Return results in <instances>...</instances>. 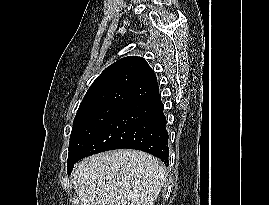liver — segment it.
Returning a JSON list of instances; mask_svg holds the SVG:
<instances>
[{"instance_id":"liver-1","label":"liver","mask_w":269,"mask_h":205,"mask_svg":"<svg viewBox=\"0 0 269 205\" xmlns=\"http://www.w3.org/2000/svg\"><path fill=\"white\" fill-rule=\"evenodd\" d=\"M165 182V168L154 156L122 149L78 162L73 185L80 205H153Z\"/></svg>"}]
</instances>
